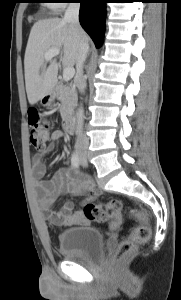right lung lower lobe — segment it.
Instances as JSON below:
<instances>
[{
    "label": "right lung lower lobe",
    "instance_id": "98d812e1",
    "mask_svg": "<svg viewBox=\"0 0 181 300\" xmlns=\"http://www.w3.org/2000/svg\"><path fill=\"white\" fill-rule=\"evenodd\" d=\"M81 3L79 20L97 48L103 43L107 0H77Z\"/></svg>",
    "mask_w": 181,
    "mask_h": 300
}]
</instances>
